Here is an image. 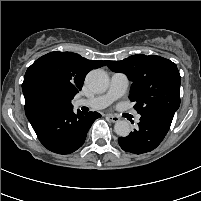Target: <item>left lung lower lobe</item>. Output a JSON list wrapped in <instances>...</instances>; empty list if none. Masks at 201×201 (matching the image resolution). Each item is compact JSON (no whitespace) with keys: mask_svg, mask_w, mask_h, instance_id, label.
Here are the masks:
<instances>
[{"mask_svg":"<svg viewBox=\"0 0 201 201\" xmlns=\"http://www.w3.org/2000/svg\"><path fill=\"white\" fill-rule=\"evenodd\" d=\"M173 117L166 114L141 116L138 128L127 137H119L121 148L130 153L142 154L154 150L167 134Z\"/></svg>","mask_w":201,"mask_h":201,"instance_id":"1","label":"left lung lower lobe"}]
</instances>
